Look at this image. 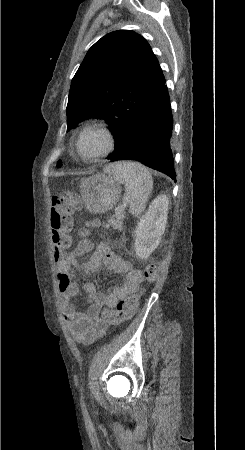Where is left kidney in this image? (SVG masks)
<instances>
[{
	"mask_svg": "<svg viewBox=\"0 0 245 450\" xmlns=\"http://www.w3.org/2000/svg\"><path fill=\"white\" fill-rule=\"evenodd\" d=\"M169 199L162 194L150 204L135 229L134 250L141 259L148 258L158 247L167 224Z\"/></svg>",
	"mask_w": 245,
	"mask_h": 450,
	"instance_id": "obj_1",
	"label": "left kidney"
}]
</instances>
